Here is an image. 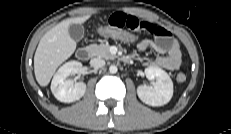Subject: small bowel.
<instances>
[{"mask_svg":"<svg viewBox=\"0 0 231 134\" xmlns=\"http://www.w3.org/2000/svg\"><path fill=\"white\" fill-rule=\"evenodd\" d=\"M108 25L131 32H144L153 38V40L144 39L137 44V49L141 52L153 50L159 54L155 60L147 62V66L169 71L179 69L182 62V53L179 44L172 38L167 29L124 12L113 13L109 17Z\"/></svg>","mask_w":231,"mask_h":134,"instance_id":"c3829d8e","label":"small bowel"}]
</instances>
